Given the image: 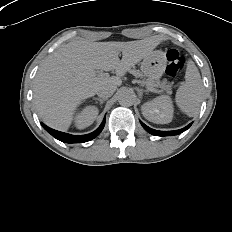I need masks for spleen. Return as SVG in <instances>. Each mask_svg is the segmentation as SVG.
<instances>
[{
	"mask_svg": "<svg viewBox=\"0 0 232 232\" xmlns=\"http://www.w3.org/2000/svg\"><path fill=\"white\" fill-rule=\"evenodd\" d=\"M201 88L199 71L191 63L186 71L185 82L181 83L176 95V102L183 106L190 115L195 114L199 109Z\"/></svg>",
	"mask_w": 232,
	"mask_h": 232,
	"instance_id": "1",
	"label": "spleen"
}]
</instances>
